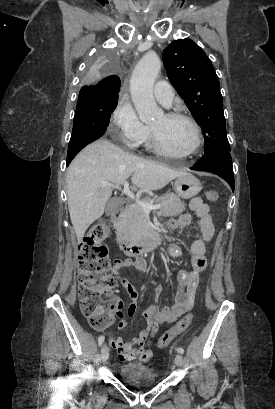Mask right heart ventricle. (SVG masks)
<instances>
[{"instance_id":"obj_1","label":"right heart ventricle","mask_w":275,"mask_h":409,"mask_svg":"<svg viewBox=\"0 0 275 409\" xmlns=\"http://www.w3.org/2000/svg\"><path fill=\"white\" fill-rule=\"evenodd\" d=\"M144 144H145V146H146L147 149L153 150V146H152V143H151V137H150V131H149V130H148V134H147V136H146V138H145V140H144Z\"/></svg>"}]
</instances>
